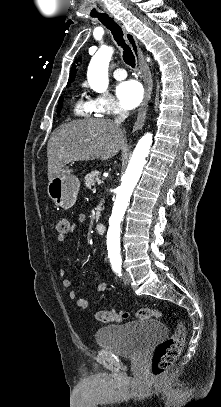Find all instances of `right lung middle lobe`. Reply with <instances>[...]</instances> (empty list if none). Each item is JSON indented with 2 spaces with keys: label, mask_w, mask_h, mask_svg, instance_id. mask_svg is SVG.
Wrapping results in <instances>:
<instances>
[{
  "label": "right lung middle lobe",
  "mask_w": 221,
  "mask_h": 407,
  "mask_svg": "<svg viewBox=\"0 0 221 407\" xmlns=\"http://www.w3.org/2000/svg\"><path fill=\"white\" fill-rule=\"evenodd\" d=\"M62 100H63V98L61 97L60 100H59V104H58V110H57L58 114L60 113V110H61V107H62V104H63Z\"/></svg>",
  "instance_id": "dd1d6c3e"
}]
</instances>
